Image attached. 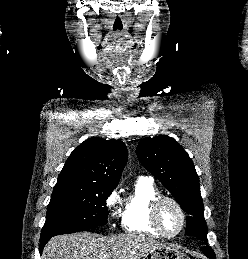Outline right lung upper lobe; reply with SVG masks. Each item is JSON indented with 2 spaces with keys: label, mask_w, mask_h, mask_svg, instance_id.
Returning <instances> with one entry per match:
<instances>
[{
  "label": "right lung upper lobe",
  "mask_w": 248,
  "mask_h": 259,
  "mask_svg": "<svg viewBox=\"0 0 248 259\" xmlns=\"http://www.w3.org/2000/svg\"><path fill=\"white\" fill-rule=\"evenodd\" d=\"M128 152L120 140L92 137L68 157L55 186H117Z\"/></svg>",
  "instance_id": "1"
}]
</instances>
